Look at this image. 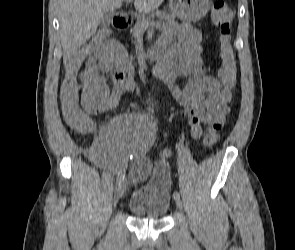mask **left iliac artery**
<instances>
[{"instance_id": "obj_1", "label": "left iliac artery", "mask_w": 295, "mask_h": 250, "mask_svg": "<svg viewBox=\"0 0 295 250\" xmlns=\"http://www.w3.org/2000/svg\"><path fill=\"white\" fill-rule=\"evenodd\" d=\"M173 197H174V198H179V199H180V194H179V192H178V191H174V193H173Z\"/></svg>"}]
</instances>
